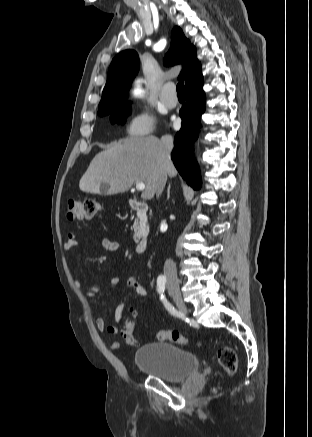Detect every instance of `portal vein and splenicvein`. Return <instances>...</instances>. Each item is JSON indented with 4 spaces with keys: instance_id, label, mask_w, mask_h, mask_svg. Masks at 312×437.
Returning a JSON list of instances; mask_svg holds the SVG:
<instances>
[{
    "instance_id": "portal-vein-and-splenic-vein-1",
    "label": "portal vein and splenic vein",
    "mask_w": 312,
    "mask_h": 437,
    "mask_svg": "<svg viewBox=\"0 0 312 437\" xmlns=\"http://www.w3.org/2000/svg\"><path fill=\"white\" fill-rule=\"evenodd\" d=\"M136 189L139 191H143L145 189V184L143 182H137Z\"/></svg>"
}]
</instances>
